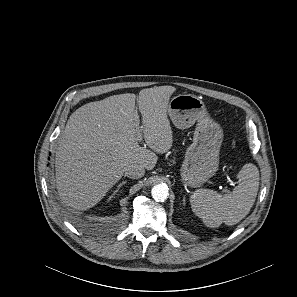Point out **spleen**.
Returning <instances> with one entry per match:
<instances>
[{"label":"spleen","instance_id":"1","mask_svg":"<svg viewBox=\"0 0 297 297\" xmlns=\"http://www.w3.org/2000/svg\"><path fill=\"white\" fill-rule=\"evenodd\" d=\"M238 185L229 194L220 196L210 189L196 190L190 197L192 211L211 228L222 223L235 225L244 219L256 200L259 188V170L252 164H245L239 171Z\"/></svg>","mask_w":297,"mask_h":297}]
</instances>
